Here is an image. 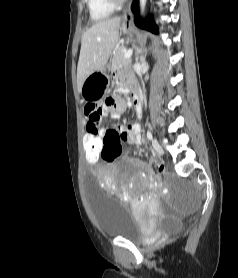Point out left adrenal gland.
Wrapping results in <instances>:
<instances>
[{
    "label": "left adrenal gland",
    "instance_id": "left-adrenal-gland-1",
    "mask_svg": "<svg viewBox=\"0 0 238 278\" xmlns=\"http://www.w3.org/2000/svg\"><path fill=\"white\" fill-rule=\"evenodd\" d=\"M140 59H141V60H143V59H144V57H143V56H141V57H140Z\"/></svg>",
    "mask_w": 238,
    "mask_h": 278
}]
</instances>
